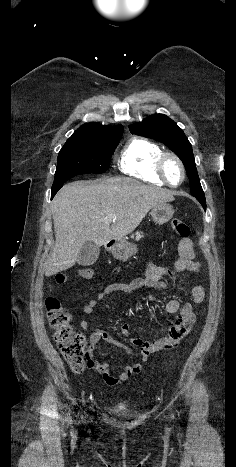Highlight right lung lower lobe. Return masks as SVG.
Segmentation results:
<instances>
[{
  "label": "right lung lower lobe",
  "mask_w": 236,
  "mask_h": 467,
  "mask_svg": "<svg viewBox=\"0 0 236 467\" xmlns=\"http://www.w3.org/2000/svg\"><path fill=\"white\" fill-rule=\"evenodd\" d=\"M63 186V184L52 186V193H51V198L54 197V195L57 193V191Z\"/></svg>",
  "instance_id": "right-lung-lower-lobe-1"
}]
</instances>
